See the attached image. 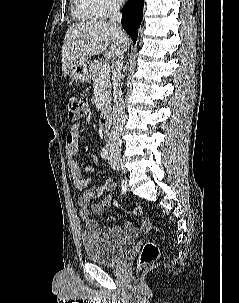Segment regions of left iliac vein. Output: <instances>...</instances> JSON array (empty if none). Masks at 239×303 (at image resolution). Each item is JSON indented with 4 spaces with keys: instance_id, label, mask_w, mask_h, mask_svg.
Segmentation results:
<instances>
[{
    "instance_id": "1",
    "label": "left iliac vein",
    "mask_w": 239,
    "mask_h": 303,
    "mask_svg": "<svg viewBox=\"0 0 239 303\" xmlns=\"http://www.w3.org/2000/svg\"><path fill=\"white\" fill-rule=\"evenodd\" d=\"M109 164L113 170L119 169V163L117 162V159L113 158L112 156L109 157Z\"/></svg>"
}]
</instances>
